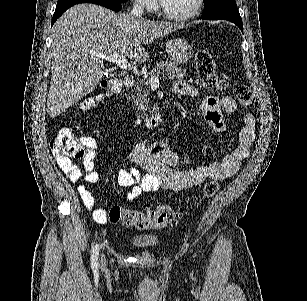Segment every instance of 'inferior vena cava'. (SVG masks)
I'll return each instance as SVG.
<instances>
[{
	"instance_id": "obj_1",
	"label": "inferior vena cava",
	"mask_w": 307,
	"mask_h": 301,
	"mask_svg": "<svg viewBox=\"0 0 307 301\" xmlns=\"http://www.w3.org/2000/svg\"><path fill=\"white\" fill-rule=\"evenodd\" d=\"M143 12H144L143 4H141V2H138V0H136V2H134L131 8V12H130L131 16H136V18L140 20V18H142Z\"/></svg>"
}]
</instances>
